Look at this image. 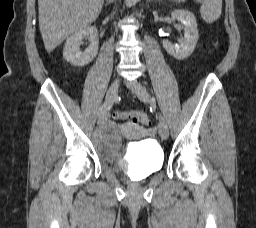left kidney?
Instances as JSON below:
<instances>
[{
  "instance_id": "obj_1",
  "label": "left kidney",
  "mask_w": 256,
  "mask_h": 228,
  "mask_svg": "<svg viewBox=\"0 0 256 228\" xmlns=\"http://www.w3.org/2000/svg\"><path fill=\"white\" fill-rule=\"evenodd\" d=\"M171 16L181 22L184 37L179 41L178 46L171 44L168 40H163V47L174 58L186 59L193 53L199 38L195 16L186 10H175Z\"/></svg>"
}]
</instances>
